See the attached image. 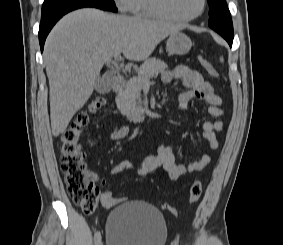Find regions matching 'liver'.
Returning <instances> with one entry per match:
<instances>
[{
    "label": "liver",
    "instance_id": "1",
    "mask_svg": "<svg viewBox=\"0 0 283 245\" xmlns=\"http://www.w3.org/2000/svg\"><path fill=\"white\" fill-rule=\"evenodd\" d=\"M179 30V25L90 8L64 16L44 48L52 134L65 132L92 95L102 66L117 53L129 60H145L163 39Z\"/></svg>",
    "mask_w": 283,
    "mask_h": 245
}]
</instances>
